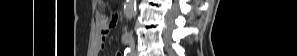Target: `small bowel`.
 Wrapping results in <instances>:
<instances>
[{
    "label": "small bowel",
    "instance_id": "small-bowel-1",
    "mask_svg": "<svg viewBox=\"0 0 297 56\" xmlns=\"http://www.w3.org/2000/svg\"><path fill=\"white\" fill-rule=\"evenodd\" d=\"M116 21H117L116 16L109 18L105 14L101 15V17H100V36H99L97 43L95 45L96 53H99L105 46L106 37L108 36L110 30L115 26ZM117 56H121V54H117Z\"/></svg>",
    "mask_w": 297,
    "mask_h": 56
}]
</instances>
